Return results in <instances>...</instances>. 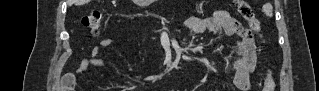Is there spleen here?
Returning <instances> with one entry per match:
<instances>
[{"instance_id":"3e777b00","label":"spleen","mask_w":319,"mask_h":91,"mask_svg":"<svg viewBox=\"0 0 319 91\" xmlns=\"http://www.w3.org/2000/svg\"><path fill=\"white\" fill-rule=\"evenodd\" d=\"M262 11L268 16V17H272L273 15V8L272 5L267 3L263 6Z\"/></svg>"}]
</instances>
